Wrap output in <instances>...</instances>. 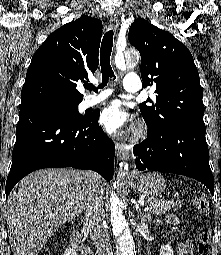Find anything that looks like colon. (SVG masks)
Wrapping results in <instances>:
<instances>
[{
	"label": "colon",
	"mask_w": 221,
	"mask_h": 255,
	"mask_svg": "<svg viewBox=\"0 0 221 255\" xmlns=\"http://www.w3.org/2000/svg\"><path fill=\"white\" fill-rule=\"evenodd\" d=\"M197 210L200 215L208 216L210 205L208 199L201 195L195 200ZM211 252V233L205 227H202L198 233L197 255H210Z\"/></svg>",
	"instance_id": "5ec220e1"
}]
</instances>
